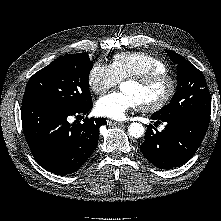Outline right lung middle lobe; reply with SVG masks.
<instances>
[{"label": "right lung middle lobe", "mask_w": 221, "mask_h": 221, "mask_svg": "<svg viewBox=\"0 0 221 221\" xmlns=\"http://www.w3.org/2000/svg\"><path fill=\"white\" fill-rule=\"evenodd\" d=\"M93 63L88 53L68 54L36 72L29 80L22 104L42 102L83 110L92 105L88 79Z\"/></svg>", "instance_id": "obj_1"}]
</instances>
